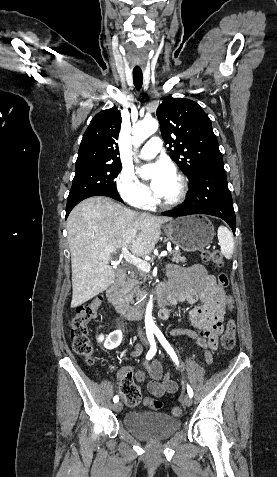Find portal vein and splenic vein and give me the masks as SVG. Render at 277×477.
<instances>
[{
    "instance_id": "obj_1",
    "label": "portal vein and splenic vein",
    "mask_w": 277,
    "mask_h": 477,
    "mask_svg": "<svg viewBox=\"0 0 277 477\" xmlns=\"http://www.w3.org/2000/svg\"><path fill=\"white\" fill-rule=\"evenodd\" d=\"M167 255H168V252L166 250H164L160 253L159 258L165 257ZM120 256L123 257L127 262L133 264L134 266H136L137 268H139L143 271L147 272V271L150 270V264L147 261L142 260V259L134 256L133 254H131L128 251L126 246L122 247Z\"/></svg>"
}]
</instances>
